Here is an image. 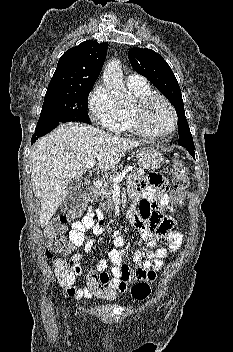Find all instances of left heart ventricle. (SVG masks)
<instances>
[{
  "label": "left heart ventricle",
  "mask_w": 233,
  "mask_h": 352,
  "mask_svg": "<svg viewBox=\"0 0 233 352\" xmlns=\"http://www.w3.org/2000/svg\"><path fill=\"white\" fill-rule=\"evenodd\" d=\"M146 123L154 133H163L172 127V114L161 101L154 102L147 111Z\"/></svg>",
  "instance_id": "left-heart-ventricle-1"
}]
</instances>
